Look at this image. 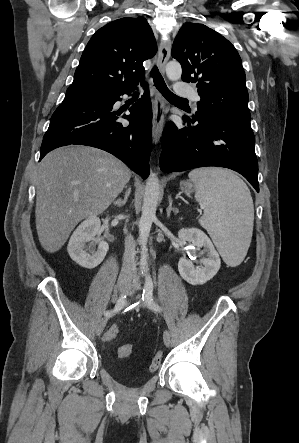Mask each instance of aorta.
<instances>
[{
    "label": "aorta",
    "mask_w": 299,
    "mask_h": 443,
    "mask_svg": "<svg viewBox=\"0 0 299 443\" xmlns=\"http://www.w3.org/2000/svg\"><path fill=\"white\" fill-rule=\"evenodd\" d=\"M166 74L169 80L177 81L181 78L182 68L180 63L171 61L166 65ZM160 194L159 179L155 173H151L147 179L144 199L142 205V214L139 220V242L141 246L140 266L144 271L147 270V241L151 226L156 218V209Z\"/></svg>",
    "instance_id": "1"
}]
</instances>
